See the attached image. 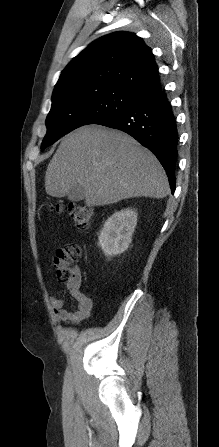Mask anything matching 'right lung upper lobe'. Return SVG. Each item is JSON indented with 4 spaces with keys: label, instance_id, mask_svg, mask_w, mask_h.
<instances>
[{
    "label": "right lung upper lobe",
    "instance_id": "1",
    "mask_svg": "<svg viewBox=\"0 0 219 447\" xmlns=\"http://www.w3.org/2000/svg\"><path fill=\"white\" fill-rule=\"evenodd\" d=\"M77 85L114 86L138 99L161 88L152 50L129 32L91 43L62 71L54 91Z\"/></svg>",
    "mask_w": 219,
    "mask_h": 447
}]
</instances>
